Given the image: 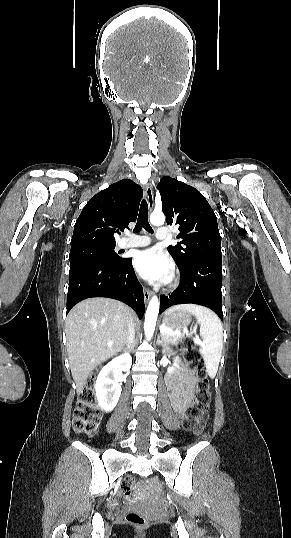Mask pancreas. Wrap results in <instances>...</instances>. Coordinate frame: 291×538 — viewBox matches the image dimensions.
<instances>
[{
  "mask_svg": "<svg viewBox=\"0 0 291 538\" xmlns=\"http://www.w3.org/2000/svg\"><path fill=\"white\" fill-rule=\"evenodd\" d=\"M161 337L166 344H178L184 338V334H170L167 332L161 333Z\"/></svg>",
  "mask_w": 291,
  "mask_h": 538,
  "instance_id": "cf45deb5",
  "label": "pancreas"
}]
</instances>
